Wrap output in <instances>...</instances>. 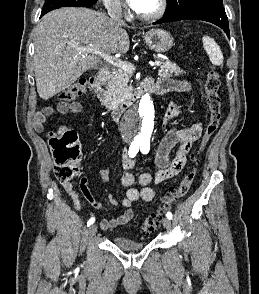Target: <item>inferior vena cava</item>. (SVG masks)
Returning <instances> with one entry per match:
<instances>
[{"mask_svg":"<svg viewBox=\"0 0 259 294\" xmlns=\"http://www.w3.org/2000/svg\"><path fill=\"white\" fill-rule=\"evenodd\" d=\"M108 13L110 19L118 26L122 27L125 25V22L122 19V13L119 3H113L109 6Z\"/></svg>","mask_w":259,"mask_h":294,"instance_id":"obj_1","label":"inferior vena cava"}]
</instances>
